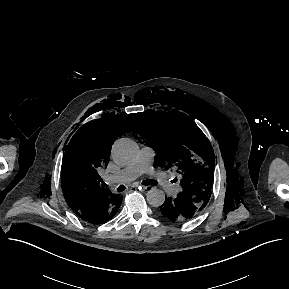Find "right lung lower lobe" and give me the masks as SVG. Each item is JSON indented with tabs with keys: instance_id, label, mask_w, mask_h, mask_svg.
<instances>
[{
	"instance_id": "1",
	"label": "right lung lower lobe",
	"mask_w": 289,
	"mask_h": 289,
	"mask_svg": "<svg viewBox=\"0 0 289 289\" xmlns=\"http://www.w3.org/2000/svg\"><path fill=\"white\" fill-rule=\"evenodd\" d=\"M122 199L123 197L120 196L119 199L114 203L105 202L100 213L95 218L88 220L87 222L100 224L110 220L119 209Z\"/></svg>"
}]
</instances>
